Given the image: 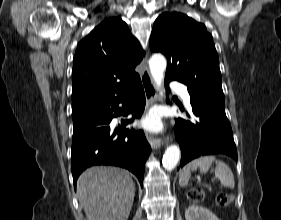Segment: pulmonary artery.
Wrapping results in <instances>:
<instances>
[{"mask_svg": "<svg viewBox=\"0 0 281 220\" xmlns=\"http://www.w3.org/2000/svg\"><path fill=\"white\" fill-rule=\"evenodd\" d=\"M171 88L182 97V99L185 102L186 106L188 108H191L190 95H189V93L187 91V88L183 84L178 83V82H173L171 84Z\"/></svg>", "mask_w": 281, "mask_h": 220, "instance_id": "pulmonary-artery-1", "label": "pulmonary artery"}]
</instances>
